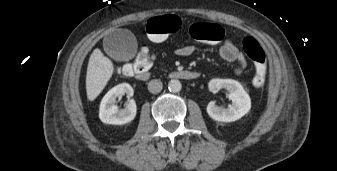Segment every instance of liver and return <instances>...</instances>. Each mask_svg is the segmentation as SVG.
Segmentation results:
<instances>
[{"label":"liver","mask_w":337,"mask_h":171,"mask_svg":"<svg viewBox=\"0 0 337 171\" xmlns=\"http://www.w3.org/2000/svg\"><path fill=\"white\" fill-rule=\"evenodd\" d=\"M113 72L112 61L96 48L90 56L86 75V92L90 101L95 100L102 92Z\"/></svg>","instance_id":"liver-1"}]
</instances>
